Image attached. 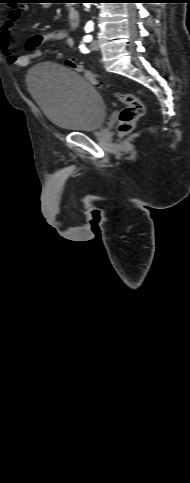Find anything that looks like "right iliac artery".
Here are the masks:
<instances>
[{"label":"right iliac artery","instance_id":"1","mask_svg":"<svg viewBox=\"0 0 190 483\" xmlns=\"http://www.w3.org/2000/svg\"><path fill=\"white\" fill-rule=\"evenodd\" d=\"M92 30H93V25H92V24H87V25L85 26V31H86L87 33L91 32Z\"/></svg>","mask_w":190,"mask_h":483}]
</instances>
